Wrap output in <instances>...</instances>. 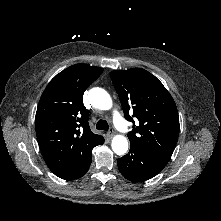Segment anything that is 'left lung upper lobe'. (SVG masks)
Wrapping results in <instances>:
<instances>
[{"instance_id":"1","label":"left lung upper lobe","mask_w":221,"mask_h":221,"mask_svg":"<svg viewBox=\"0 0 221 221\" xmlns=\"http://www.w3.org/2000/svg\"><path fill=\"white\" fill-rule=\"evenodd\" d=\"M111 79L125 118L134 123L130 145L170 160L179 136L178 110L170 93L141 68L112 71Z\"/></svg>"}]
</instances>
